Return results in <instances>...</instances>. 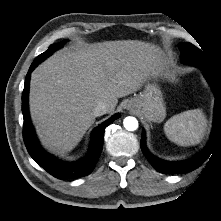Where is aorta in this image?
Wrapping results in <instances>:
<instances>
[{
  "mask_svg": "<svg viewBox=\"0 0 221 221\" xmlns=\"http://www.w3.org/2000/svg\"><path fill=\"white\" fill-rule=\"evenodd\" d=\"M123 125L126 130L134 131L138 128V120L135 117L128 116L124 119Z\"/></svg>",
  "mask_w": 221,
  "mask_h": 221,
  "instance_id": "obj_1",
  "label": "aorta"
}]
</instances>
